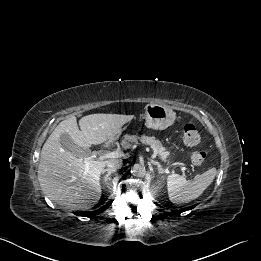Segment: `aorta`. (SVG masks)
Here are the masks:
<instances>
[{"mask_svg": "<svg viewBox=\"0 0 261 261\" xmlns=\"http://www.w3.org/2000/svg\"><path fill=\"white\" fill-rule=\"evenodd\" d=\"M131 172L137 176H141L144 174L145 169L140 164H134L131 168Z\"/></svg>", "mask_w": 261, "mask_h": 261, "instance_id": "762f6f07", "label": "aorta"}]
</instances>
